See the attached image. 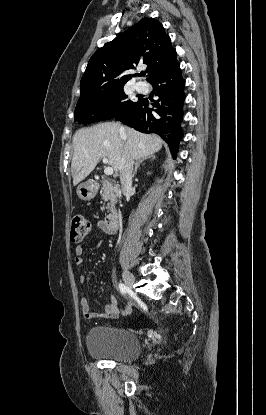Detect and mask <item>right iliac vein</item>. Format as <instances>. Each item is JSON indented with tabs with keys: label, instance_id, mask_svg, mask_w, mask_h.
<instances>
[{
	"label": "right iliac vein",
	"instance_id": "63e3f726",
	"mask_svg": "<svg viewBox=\"0 0 266 415\" xmlns=\"http://www.w3.org/2000/svg\"><path fill=\"white\" fill-rule=\"evenodd\" d=\"M122 276H123V280H124L125 284L129 288H132V286H133V284L135 282L134 276L129 271H127V270L123 271Z\"/></svg>",
	"mask_w": 266,
	"mask_h": 415
}]
</instances>
